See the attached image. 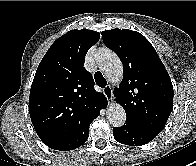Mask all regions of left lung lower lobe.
<instances>
[{
  "mask_svg": "<svg viewBox=\"0 0 196 166\" xmlns=\"http://www.w3.org/2000/svg\"><path fill=\"white\" fill-rule=\"evenodd\" d=\"M113 135L117 142L129 146H139L152 141L158 133L140 129L132 124L125 123L122 127H114Z\"/></svg>",
  "mask_w": 196,
  "mask_h": 166,
  "instance_id": "1",
  "label": "left lung lower lobe"
}]
</instances>
